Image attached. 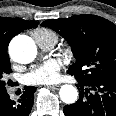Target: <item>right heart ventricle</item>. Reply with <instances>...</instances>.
<instances>
[{
    "label": "right heart ventricle",
    "instance_id": "obj_1",
    "mask_svg": "<svg viewBox=\"0 0 116 116\" xmlns=\"http://www.w3.org/2000/svg\"><path fill=\"white\" fill-rule=\"evenodd\" d=\"M32 35L38 44H55L58 41V34L49 28H37Z\"/></svg>",
    "mask_w": 116,
    "mask_h": 116
}]
</instances>
